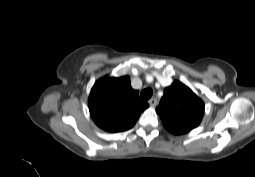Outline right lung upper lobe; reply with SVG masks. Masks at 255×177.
Here are the masks:
<instances>
[{
    "mask_svg": "<svg viewBox=\"0 0 255 177\" xmlns=\"http://www.w3.org/2000/svg\"><path fill=\"white\" fill-rule=\"evenodd\" d=\"M88 106L95 124L112 133L133 127L141 112L149 107L139 100L129 76H105L98 80L90 92Z\"/></svg>",
    "mask_w": 255,
    "mask_h": 177,
    "instance_id": "cb5924a9",
    "label": "right lung upper lobe"
}]
</instances>
